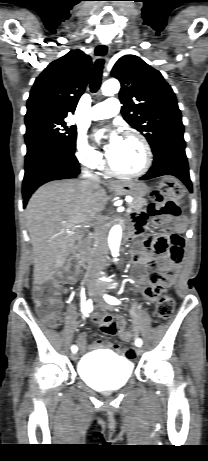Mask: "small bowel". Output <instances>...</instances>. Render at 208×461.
<instances>
[{
	"instance_id": "small-bowel-1",
	"label": "small bowel",
	"mask_w": 208,
	"mask_h": 461,
	"mask_svg": "<svg viewBox=\"0 0 208 461\" xmlns=\"http://www.w3.org/2000/svg\"><path fill=\"white\" fill-rule=\"evenodd\" d=\"M149 214V209H137L136 214H129L128 219L133 222L136 235L145 231ZM153 223L157 224L154 234L142 237L141 243L137 244L132 252L134 274L139 290L143 298L149 302L155 301L158 295L174 282L178 266H182L184 256H188L189 252L188 248H185L187 235L177 234V231L183 228L181 223L160 225L164 221L156 218ZM155 252L165 258L159 263V271L148 273L146 267L156 264L153 258L157 255ZM68 261L69 263H62L61 268L63 271H68L70 281H74L79 276L80 258L69 256ZM93 317L103 333L118 335L125 342L134 340V335L125 330L126 322L122 317L108 315L102 311L95 312ZM77 344L83 352L97 349H111L114 354L121 352L120 346L103 340H96L88 345L85 333L79 334Z\"/></svg>"
}]
</instances>
